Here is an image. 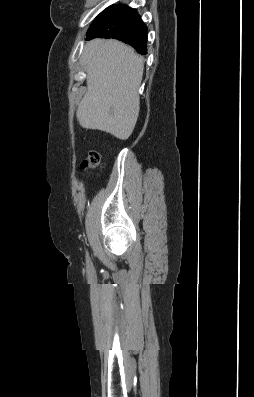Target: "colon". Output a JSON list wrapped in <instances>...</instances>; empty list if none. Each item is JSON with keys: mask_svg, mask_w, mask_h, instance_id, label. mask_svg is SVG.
<instances>
[{"mask_svg": "<svg viewBox=\"0 0 254 397\" xmlns=\"http://www.w3.org/2000/svg\"><path fill=\"white\" fill-rule=\"evenodd\" d=\"M101 162V155L97 151H91L88 154L87 159L84 161L83 166L85 168H94Z\"/></svg>", "mask_w": 254, "mask_h": 397, "instance_id": "1", "label": "colon"}]
</instances>
